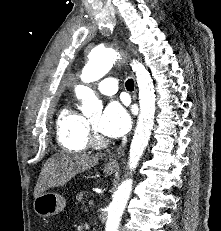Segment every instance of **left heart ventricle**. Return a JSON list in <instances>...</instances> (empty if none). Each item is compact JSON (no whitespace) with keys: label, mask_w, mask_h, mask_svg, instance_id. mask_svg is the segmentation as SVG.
Listing matches in <instances>:
<instances>
[{"label":"left heart ventricle","mask_w":221,"mask_h":231,"mask_svg":"<svg viewBox=\"0 0 221 231\" xmlns=\"http://www.w3.org/2000/svg\"><path fill=\"white\" fill-rule=\"evenodd\" d=\"M99 122V117H95L93 119H90V123L94 126L97 127Z\"/></svg>","instance_id":"left-heart-ventricle-1"}]
</instances>
